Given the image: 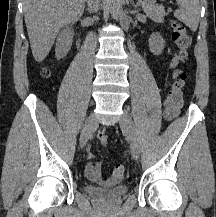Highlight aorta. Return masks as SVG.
<instances>
[{
    "mask_svg": "<svg viewBox=\"0 0 216 217\" xmlns=\"http://www.w3.org/2000/svg\"><path fill=\"white\" fill-rule=\"evenodd\" d=\"M123 0H109L111 15L114 19H119L122 14Z\"/></svg>",
    "mask_w": 216,
    "mask_h": 217,
    "instance_id": "obj_1",
    "label": "aorta"
}]
</instances>
